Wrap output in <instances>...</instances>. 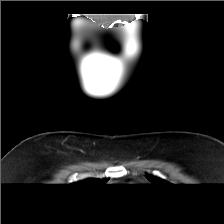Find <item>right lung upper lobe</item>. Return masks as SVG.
Wrapping results in <instances>:
<instances>
[{
    "instance_id": "1",
    "label": "right lung upper lobe",
    "mask_w": 224,
    "mask_h": 224,
    "mask_svg": "<svg viewBox=\"0 0 224 224\" xmlns=\"http://www.w3.org/2000/svg\"><path fill=\"white\" fill-rule=\"evenodd\" d=\"M106 181H107V179H103V180H99V179H88V180H85V181H81L79 183L89 184V183L106 182Z\"/></svg>"
}]
</instances>
